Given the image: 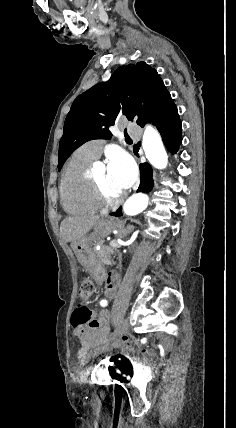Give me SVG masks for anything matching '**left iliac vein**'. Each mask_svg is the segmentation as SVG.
Returning a JSON list of instances; mask_svg holds the SVG:
<instances>
[{
    "label": "left iliac vein",
    "mask_w": 236,
    "mask_h": 428,
    "mask_svg": "<svg viewBox=\"0 0 236 428\" xmlns=\"http://www.w3.org/2000/svg\"><path fill=\"white\" fill-rule=\"evenodd\" d=\"M127 325H128V322L127 321H124L123 323H121L120 324V328H118V329H115V332L113 333V336L111 337L113 340H115L116 338H117V336H118V334H120V333H126L127 332ZM90 363H95V358H90ZM86 371H91V366H86Z\"/></svg>",
    "instance_id": "1"
}]
</instances>
